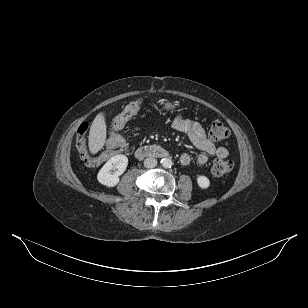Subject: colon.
I'll return each instance as SVG.
<instances>
[{"mask_svg":"<svg viewBox=\"0 0 308 308\" xmlns=\"http://www.w3.org/2000/svg\"><path fill=\"white\" fill-rule=\"evenodd\" d=\"M142 108V101L136 100L127 104L119 115L115 117L112 123V130L117 132L125 123L134 117ZM88 130V124L83 122L80 124L76 135V148L80 154L81 159L89 166H97L102 163L106 158H113L115 153L124 154L126 150V142L124 141L123 134H110L109 144L111 147L106 148L104 154L92 155L87 147L86 133ZM229 136L228 128L220 121L216 120L211 124L209 130V137L214 141H221ZM116 151V152H115ZM233 169V162L226 158H220L214 160L212 164V174L215 177H225Z\"/></svg>","mask_w":308,"mask_h":308,"instance_id":"5ec220e1","label":"colon"}]
</instances>
